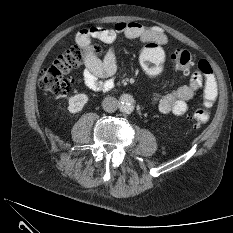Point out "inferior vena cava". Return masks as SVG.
Instances as JSON below:
<instances>
[{
	"label": "inferior vena cava",
	"mask_w": 233,
	"mask_h": 233,
	"mask_svg": "<svg viewBox=\"0 0 233 233\" xmlns=\"http://www.w3.org/2000/svg\"><path fill=\"white\" fill-rule=\"evenodd\" d=\"M103 109L108 113H113L118 108V101L114 97H106L102 102Z\"/></svg>",
	"instance_id": "1"
}]
</instances>
